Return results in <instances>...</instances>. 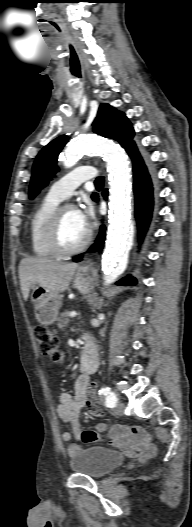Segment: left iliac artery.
<instances>
[{
    "mask_svg": "<svg viewBox=\"0 0 192 527\" xmlns=\"http://www.w3.org/2000/svg\"><path fill=\"white\" fill-rule=\"evenodd\" d=\"M99 392L101 393V395L105 397V405L107 407H110V408L115 407L118 399L116 397V394L113 391H111L110 387L108 386L102 387Z\"/></svg>",
    "mask_w": 192,
    "mask_h": 527,
    "instance_id": "left-iliac-artery-1",
    "label": "left iliac artery"
}]
</instances>
